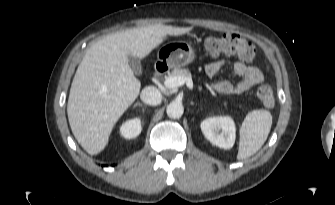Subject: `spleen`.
Segmentation results:
<instances>
[{
  "instance_id": "obj_1",
  "label": "spleen",
  "mask_w": 335,
  "mask_h": 205,
  "mask_svg": "<svg viewBox=\"0 0 335 205\" xmlns=\"http://www.w3.org/2000/svg\"><path fill=\"white\" fill-rule=\"evenodd\" d=\"M272 126V115L267 110H254L247 114L240 127L237 159L254 155L265 143Z\"/></svg>"
}]
</instances>
